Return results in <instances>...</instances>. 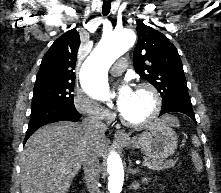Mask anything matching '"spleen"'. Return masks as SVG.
<instances>
[{"instance_id": "1", "label": "spleen", "mask_w": 221, "mask_h": 193, "mask_svg": "<svg viewBox=\"0 0 221 193\" xmlns=\"http://www.w3.org/2000/svg\"><path fill=\"white\" fill-rule=\"evenodd\" d=\"M192 143L196 146L199 147L200 146V142L198 140V138L196 136L192 137Z\"/></svg>"}]
</instances>
